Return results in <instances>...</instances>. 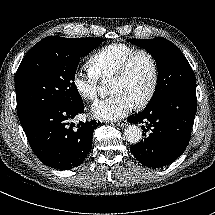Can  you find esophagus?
<instances>
[{
    "instance_id": "34e87169",
    "label": "esophagus",
    "mask_w": 215,
    "mask_h": 215,
    "mask_svg": "<svg viewBox=\"0 0 215 215\" xmlns=\"http://www.w3.org/2000/svg\"><path fill=\"white\" fill-rule=\"evenodd\" d=\"M116 125H118V126H125V125H127V121H126V120L118 121V122L116 123Z\"/></svg>"
}]
</instances>
